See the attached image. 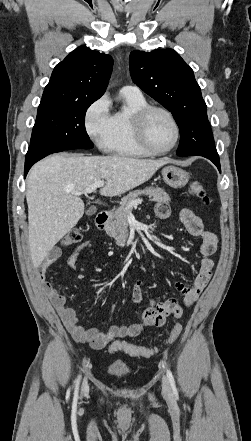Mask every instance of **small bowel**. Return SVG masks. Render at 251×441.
Here are the masks:
<instances>
[{
  "mask_svg": "<svg viewBox=\"0 0 251 441\" xmlns=\"http://www.w3.org/2000/svg\"><path fill=\"white\" fill-rule=\"evenodd\" d=\"M155 214L160 219H166L170 215V208L166 203H158L155 207ZM179 218L190 235L202 238L199 248L201 260L198 272L191 286L186 287L180 282H177L175 285L183 296L184 305L189 307L197 301L211 279L214 262L210 256L216 251L218 240L214 233L204 229L202 220L192 210L183 208L179 213ZM88 245L89 241L83 242L71 253L67 260L70 268H76L80 252ZM60 255L61 250L57 247L53 248L37 267L36 275L66 329L73 339L79 343L87 344L93 349H102L116 339L136 337L149 327H161L165 324L168 316L180 318L183 315V307L176 298H168L165 301L151 299L150 305L141 311V322L139 323L121 326L111 325L106 332H102L97 328H87L80 325L75 310L67 305L66 297L45 280L47 267L53 264ZM131 296L135 303L140 304L142 302V281L138 280L133 284ZM113 309L114 306L111 308V313Z\"/></svg>",
  "mask_w": 251,
  "mask_h": 441,
  "instance_id": "1",
  "label": "small bowel"
}]
</instances>
